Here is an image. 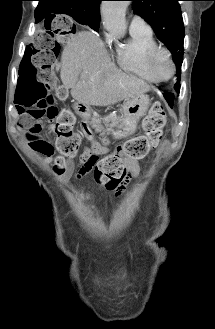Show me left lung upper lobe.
Returning <instances> with one entry per match:
<instances>
[{
    "label": "left lung upper lobe",
    "mask_w": 215,
    "mask_h": 329,
    "mask_svg": "<svg viewBox=\"0 0 215 329\" xmlns=\"http://www.w3.org/2000/svg\"><path fill=\"white\" fill-rule=\"evenodd\" d=\"M134 12L153 28L155 34L173 54L178 80L183 62L184 25L178 1L180 0H131ZM174 88L180 90L176 82Z\"/></svg>",
    "instance_id": "5c2ea615"
}]
</instances>
